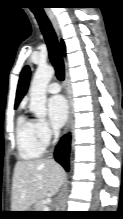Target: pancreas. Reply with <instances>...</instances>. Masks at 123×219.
I'll list each match as a JSON object with an SVG mask.
<instances>
[{
  "mask_svg": "<svg viewBox=\"0 0 123 219\" xmlns=\"http://www.w3.org/2000/svg\"><path fill=\"white\" fill-rule=\"evenodd\" d=\"M44 206L45 205L41 201H37L34 205V210L35 211H44L43 210Z\"/></svg>",
  "mask_w": 123,
  "mask_h": 219,
  "instance_id": "1",
  "label": "pancreas"
}]
</instances>
